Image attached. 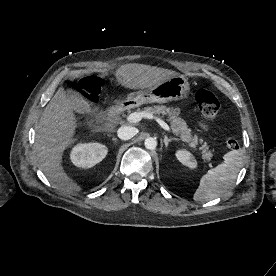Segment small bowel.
I'll return each mask as SVG.
<instances>
[{"label": "small bowel", "mask_w": 276, "mask_h": 276, "mask_svg": "<svg viewBox=\"0 0 276 276\" xmlns=\"http://www.w3.org/2000/svg\"><path fill=\"white\" fill-rule=\"evenodd\" d=\"M198 125L200 126V128H201L202 130H204V131H207V130H208V125H207L205 122L199 121V122H198Z\"/></svg>", "instance_id": "1"}]
</instances>
